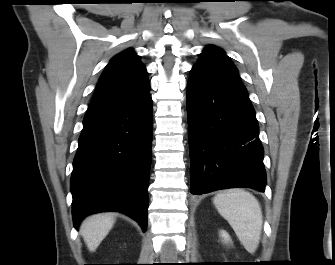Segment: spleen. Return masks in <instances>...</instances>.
<instances>
[{
  "label": "spleen",
  "instance_id": "obj_1",
  "mask_svg": "<svg viewBox=\"0 0 335 265\" xmlns=\"http://www.w3.org/2000/svg\"><path fill=\"white\" fill-rule=\"evenodd\" d=\"M213 203L229 222L244 248L253 254L259 245L263 224L258 200L251 193L234 188L217 194Z\"/></svg>",
  "mask_w": 335,
  "mask_h": 265
}]
</instances>
